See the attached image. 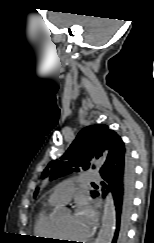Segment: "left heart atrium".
Listing matches in <instances>:
<instances>
[{
	"label": "left heart atrium",
	"mask_w": 154,
	"mask_h": 243,
	"mask_svg": "<svg viewBox=\"0 0 154 243\" xmlns=\"http://www.w3.org/2000/svg\"><path fill=\"white\" fill-rule=\"evenodd\" d=\"M73 221L80 226L87 236L92 232L95 226L96 216L89 204L81 203L76 209Z\"/></svg>",
	"instance_id": "left-heart-atrium-1"
}]
</instances>
